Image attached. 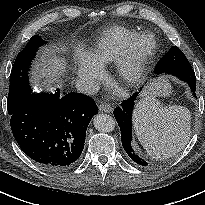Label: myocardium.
Segmentation results:
<instances>
[{"label": "myocardium", "instance_id": "obj_1", "mask_svg": "<svg viewBox=\"0 0 205 205\" xmlns=\"http://www.w3.org/2000/svg\"><path fill=\"white\" fill-rule=\"evenodd\" d=\"M153 50L151 33L144 32L135 37L130 49L116 60L117 76L122 85L133 86L142 82Z\"/></svg>", "mask_w": 205, "mask_h": 205}]
</instances>
